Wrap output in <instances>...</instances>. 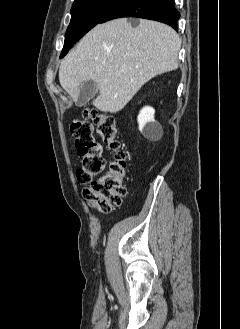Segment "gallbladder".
I'll return each mask as SVG.
<instances>
[{
	"mask_svg": "<svg viewBox=\"0 0 240 329\" xmlns=\"http://www.w3.org/2000/svg\"><path fill=\"white\" fill-rule=\"evenodd\" d=\"M98 85L94 80H88L81 84L77 104L82 106L89 102L97 93Z\"/></svg>",
	"mask_w": 240,
	"mask_h": 329,
	"instance_id": "obj_1",
	"label": "gallbladder"
}]
</instances>
